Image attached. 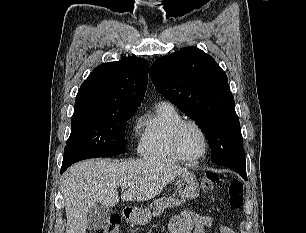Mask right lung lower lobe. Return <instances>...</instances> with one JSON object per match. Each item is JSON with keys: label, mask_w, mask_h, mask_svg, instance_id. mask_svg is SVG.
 <instances>
[{"label": "right lung lower lobe", "mask_w": 306, "mask_h": 233, "mask_svg": "<svg viewBox=\"0 0 306 233\" xmlns=\"http://www.w3.org/2000/svg\"><path fill=\"white\" fill-rule=\"evenodd\" d=\"M69 166L67 165H62V168H61V173H63Z\"/></svg>", "instance_id": "1"}]
</instances>
